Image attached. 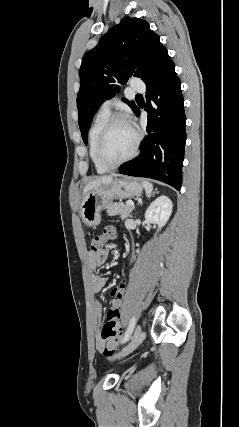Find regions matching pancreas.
<instances>
[{"instance_id":"pancreas-1","label":"pancreas","mask_w":239,"mask_h":427,"mask_svg":"<svg viewBox=\"0 0 239 427\" xmlns=\"http://www.w3.org/2000/svg\"><path fill=\"white\" fill-rule=\"evenodd\" d=\"M132 210L133 207L120 202L110 203L107 206V214L109 216L120 215L122 220L130 217Z\"/></svg>"}]
</instances>
